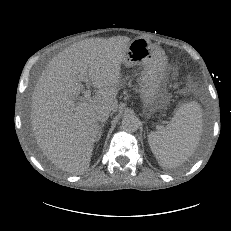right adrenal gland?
<instances>
[{
  "label": "right adrenal gland",
  "mask_w": 231,
  "mask_h": 231,
  "mask_svg": "<svg viewBox=\"0 0 231 231\" xmlns=\"http://www.w3.org/2000/svg\"><path fill=\"white\" fill-rule=\"evenodd\" d=\"M104 126H105V122L100 124L99 132H98V135H97L96 141H99V140H100V138H101V136L103 135V127H104Z\"/></svg>",
  "instance_id": "right-adrenal-gland-1"
}]
</instances>
